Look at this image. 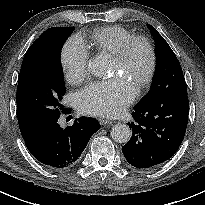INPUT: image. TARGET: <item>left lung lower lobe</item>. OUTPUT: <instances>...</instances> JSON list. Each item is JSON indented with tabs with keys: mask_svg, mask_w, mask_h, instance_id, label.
I'll list each match as a JSON object with an SVG mask.
<instances>
[{
	"mask_svg": "<svg viewBox=\"0 0 205 205\" xmlns=\"http://www.w3.org/2000/svg\"><path fill=\"white\" fill-rule=\"evenodd\" d=\"M188 113L187 86L174 94L136 106L132 112L134 121L128 123L132 137L122 147L128 163L146 169L171 158L184 138Z\"/></svg>",
	"mask_w": 205,
	"mask_h": 205,
	"instance_id": "left-lung-lower-lobe-1",
	"label": "left lung lower lobe"
}]
</instances>
